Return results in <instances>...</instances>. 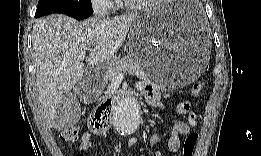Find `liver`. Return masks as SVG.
<instances>
[{"mask_svg":"<svg viewBox=\"0 0 261 156\" xmlns=\"http://www.w3.org/2000/svg\"><path fill=\"white\" fill-rule=\"evenodd\" d=\"M132 12L111 19L92 18L83 22L63 14L38 19L32 30V57L36 71L37 99L49 128L54 123L59 105L87 68L79 57H86L88 66H98L114 58L123 45L132 23L141 15ZM71 96V95H70ZM80 118V104L74 96Z\"/></svg>","mask_w":261,"mask_h":156,"instance_id":"obj_1","label":"liver"}]
</instances>
